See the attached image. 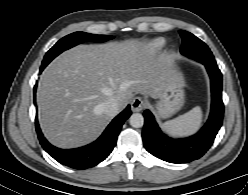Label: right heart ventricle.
Returning a JSON list of instances; mask_svg holds the SVG:
<instances>
[{"instance_id": "obj_1", "label": "right heart ventricle", "mask_w": 248, "mask_h": 195, "mask_svg": "<svg viewBox=\"0 0 248 195\" xmlns=\"http://www.w3.org/2000/svg\"><path fill=\"white\" fill-rule=\"evenodd\" d=\"M166 45V40L164 38H158L154 41V47L156 49H161Z\"/></svg>"}]
</instances>
